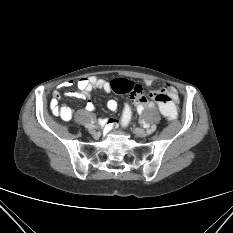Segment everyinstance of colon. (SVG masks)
Returning <instances> with one entry per match:
<instances>
[{"mask_svg":"<svg viewBox=\"0 0 233 233\" xmlns=\"http://www.w3.org/2000/svg\"><path fill=\"white\" fill-rule=\"evenodd\" d=\"M111 89L118 94L129 93L133 102L147 101L150 97L158 103L159 109L162 114L170 121L174 120L177 116V111L173 105L169 95L161 91H153L148 94L145 93L144 88L126 79H115L111 83ZM133 116L132 107L129 104H125L121 123L123 126H128Z\"/></svg>","mask_w":233,"mask_h":233,"instance_id":"1","label":"colon"}]
</instances>
